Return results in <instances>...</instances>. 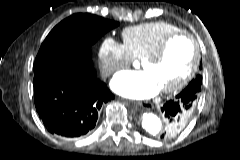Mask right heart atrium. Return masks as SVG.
Wrapping results in <instances>:
<instances>
[{"label": "right heart atrium", "instance_id": "right-heart-atrium-1", "mask_svg": "<svg viewBox=\"0 0 240 160\" xmlns=\"http://www.w3.org/2000/svg\"><path fill=\"white\" fill-rule=\"evenodd\" d=\"M98 59L101 73L105 77L112 76L132 61L124 44L113 38H106L102 41L98 50Z\"/></svg>", "mask_w": 240, "mask_h": 160}]
</instances>
